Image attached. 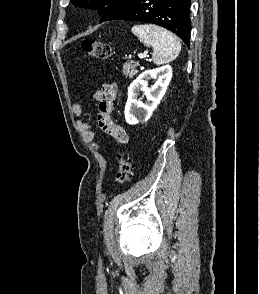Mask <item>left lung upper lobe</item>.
Instances as JSON below:
<instances>
[{"mask_svg":"<svg viewBox=\"0 0 259 294\" xmlns=\"http://www.w3.org/2000/svg\"><path fill=\"white\" fill-rule=\"evenodd\" d=\"M128 1L129 0H71L75 7L97 10L102 17L100 23L105 21L112 12Z\"/></svg>","mask_w":259,"mask_h":294,"instance_id":"left-lung-upper-lobe-1","label":"left lung upper lobe"}]
</instances>
